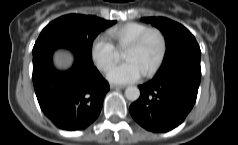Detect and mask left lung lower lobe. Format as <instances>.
<instances>
[{"label":"left lung lower lobe","mask_w":238,"mask_h":145,"mask_svg":"<svg viewBox=\"0 0 238 145\" xmlns=\"http://www.w3.org/2000/svg\"><path fill=\"white\" fill-rule=\"evenodd\" d=\"M201 79L200 59L160 69L140 85L141 95L129 111L134 120L152 132H167L180 125L193 108Z\"/></svg>","instance_id":"0a47b994"}]
</instances>
